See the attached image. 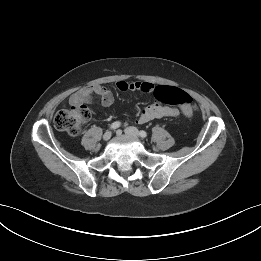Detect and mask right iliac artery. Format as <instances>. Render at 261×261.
I'll return each instance as SVG.
<instances>
[{
  "mask_svg": "<svg viewBox=\"0 0 261 261\" xmlns=\"http://www.w3.org/2000/svg\"><path fill=\"white\" fill-rule=\"evenodd\" d=\"M120 125H121V123L119 121H116V122L111 124L110 128L115 130V129L119 128Z\"/></svg>",
  "mask_w": 261,
  "mask_h": 261,
  "instance_id": "obj_1",
  "label": "right iliac artery"
}]
</instances>
